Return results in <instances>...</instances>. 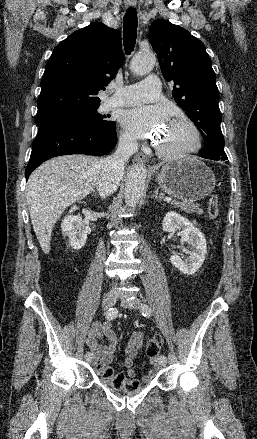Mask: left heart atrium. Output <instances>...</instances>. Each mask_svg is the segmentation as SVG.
Masks as SVG:
<instances>
[{"label":"left heart atrium","mask_w":257,"mask_h":439,"mask_svg":"<svg viewBox=\"0 0 257 439\" xmlns=\"http://www.w3.org/2000/svg\"><path fill=\"white\" fill-rule=\"evenodd\" d=\"M166 111L159 106H141L128 109L121 115V123L135 136L145 138L161 129Z\"/></svg>","instance_id":"39dd6f15"}]
</instances>
